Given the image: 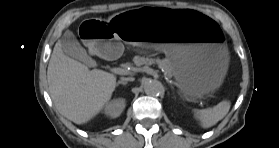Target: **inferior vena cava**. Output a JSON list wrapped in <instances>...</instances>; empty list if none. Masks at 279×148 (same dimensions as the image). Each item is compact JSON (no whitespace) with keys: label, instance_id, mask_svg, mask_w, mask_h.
<instances>
[{"label":"inferior vena cava","instance_id":"inferior-vena-cava-1","mask_svg":"<svg viewBox=\"0 0 279 148\" xmlns=\"http://www.w3.org/2000/svg\"><path fill=\"white\" fill-rule=\"evenodd\" d=\"M121 81H125V82H128V81H134V78L133 77H122L121 78Z\"/></svg>","mask_w":279,"mask_h":148}]
</instances>
